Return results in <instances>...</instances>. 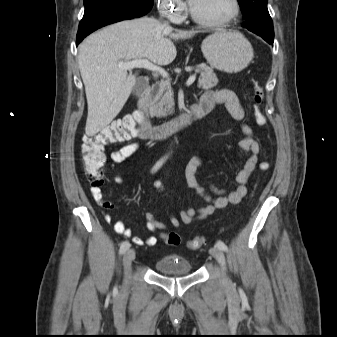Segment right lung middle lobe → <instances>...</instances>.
<instances>
[{
	"instance_id": "right-lung-middle-lobe-1",
	"label": "right lung middle lobe",
	"mask_w": 337,
	"mask_h": 337,
	"mask_svg": "<svg viewBox=\"0 0 337 337\" xmlns=\"http://www.w3.org/2000/svg\"><path fill=\"white\" fill-rule=\"evenodd\" d=\"M90 0H84V4H86L87 2H89ZM133 1H136V2H142V3H148V2H151L152 0H133Z\"/></svg>"
}]
</instances>
